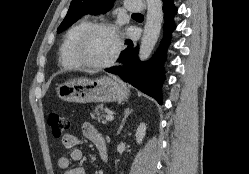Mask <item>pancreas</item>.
Returning a JSON list of instances; mask_svg holds the SVG:
<instances>
[{
    "mask_svg": "<svg viewBox=\"0 0 249 174\" xmlns=\"http://www.w3.org/2000/svg\"><path fill=\"white\" fill-rule=\"evenodd\" d=\"M100 110H103V105L100 104V105H97L95 107V109L93 110V113H92V117L95 118L98 120V121H101L104 122V120L102 119V117L104 116L103 112H100Z\"/></svg>",
    "mask_w": 249,
    "mask_h": 174,
    "instance_id": "obj_1",
    "label": "pancreas"
}]
</instances>
